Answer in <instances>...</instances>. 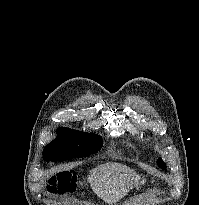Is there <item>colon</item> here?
<instances>
[{
	"label": "colon",
	"mask_w": 199,
	"mask_h": 205,
	"mask_svg": "<svg viewBox=\"0 0 199 205\" xmlns=\"http://www.w3.org/2000/svg\"><path fill=\"white\" fill-rule=\"evenodd\" d=\"M74 174L70 171H63L52 175L48 179L47 191L51 194L68 193L73 188Z\"/></svg>",
	"instance_id": "obj_1"
}]
</instances>
